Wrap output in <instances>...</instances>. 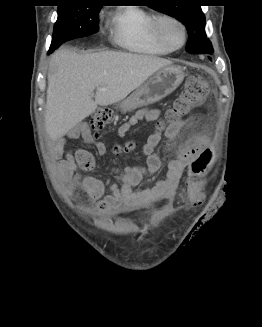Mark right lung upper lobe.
I'll return each instance as SVG.
<instances>
[{"mask_svg":"<svg viewBox=\"0 0 262 327\" xmlns=\"http://www.w3.org/2000/svg\"><path fill=\"white\" fill-rule=\"evenodd\" d=\"M61 3H69V2H95L96 0H60Z\"/></svg>","mask_w":262,"mask_h":327,"instance_id":"cb5924a9","label":"right lung upper lobe"}]
</instances>
